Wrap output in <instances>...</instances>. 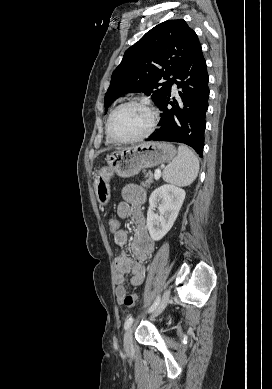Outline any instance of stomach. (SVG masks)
Listing matches in <instances>:
<instances>
[{"instance_id": "0dacf381", "label": "stomach", "mask_w": 272, "mask_h": 389, "mask_svg": "<svg viewBox=\"0 0 272 389\" xmlns=\"http://www.w3.org/2000/svg\"><path fill=\"white\" fill-rule=\"evenodd\" d=\"M176 156L175 147L166 142H144L123 148L107 157V166L99 169L94 179V189L101 206H106L110 200V179L116 174L129 178L142 169L170 162Z\"/></svg>"}]
</instances>
